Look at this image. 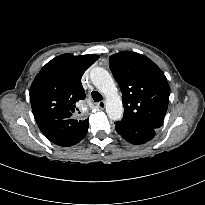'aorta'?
Instances as JSON below:
<instances>
[{"mask_svg": "<svg viewBox=\"0 0 205 205\" xmlns=\"http://www.w3.org/2000/svg\"><path fill=\"white\" fill-rule=\"evenodd\" d=\"M93 85L106 97V113L111 120H120L123 116V105L116 84L107 70L94 67L90 71Z\"/></svg>", "mask_w": 205, "mask_h": 205, "instance_id": "obj_1", "label": "aorta"}]
</instances>
